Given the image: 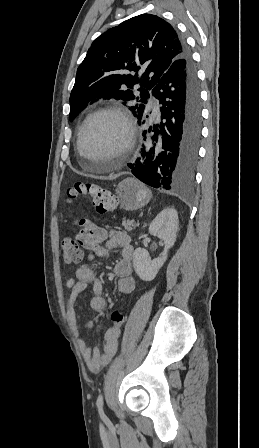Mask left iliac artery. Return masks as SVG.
Returning <instances> with one entry per match:
<instances>
[{
  "label": "left iliac artery",
  "instance_id": "44dca946",
  "mask_svg": "<svg viewBox=\"0 0 259 448\" xmlns=\"http://www.w3.org/2000/svg\"><path fill=\"white\" fill-rule=\"evenodd\" d=\"M96 405H97L99 414L101 415V417L103 418V420H104L106 423H109V419L105 416L104 411H103V396H102V394H100V395L98 396L97 401H96Z\"/></svg>",
  "mask_w": 259,
  "mask_h": 448
}]
</instances>
